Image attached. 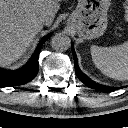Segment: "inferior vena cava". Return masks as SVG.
<instances>
[{
	"mask_svg": "<svg viewBox=\"0 0 128 128\" xmlns=\"http://www.w3.org/2000/svg\"><path fill=\"white\" fill-rule=\"evenodd\" d=\"M49 19V14L47 11H42L39 15V20L43 23H45L46 21H48Z\"/></svg>",
	"mask_w": 128,
	"mask_h": 128,
	"instance_id": "obj_1",
	"label": "inferior vena cava"
}]
</instances>
